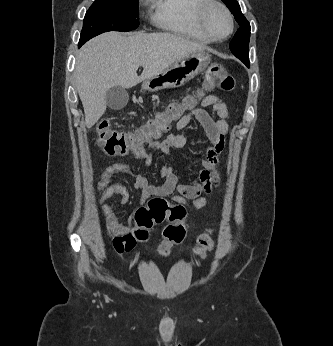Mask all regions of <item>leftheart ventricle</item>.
I'll return each mask as SVG.
<instances>
[{"mask_svg":"<svg viewBox=\"0 0 333 346\" xmlns=\"http://www.w3.org/2000/svg\"><path fill=\"white\" fill-rule=\"evenodd\" d=\"M208 26L216 37H222L228 32L230 24L226 15L215 8L208 16Z\"/></svg>","mask_w":333,"mask_h":346,"instance_id":"1","label":"left heart ventricle"}]
</instances>
